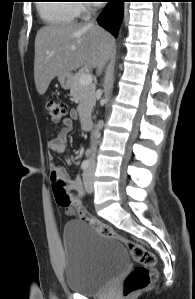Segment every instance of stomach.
Wrapping results in <instances>:
<instances>
[{"label": "stomach", "mask_w": 195, "mask_h": 299, "mask_svg": "<svg viewBox=\"0 0 195 299\" xmlns=\"http://www.w3.org/2000/svg\"><path fill=\"white\" fill-rule=\"evenodd\" d=\"M73 74L67 73L58 76V81L63 89H70L73 84Z\"/></svg>", "instance_id": "obj_1"}]
</instances>
